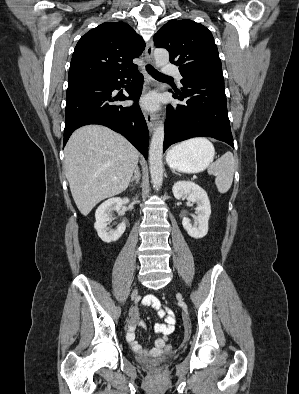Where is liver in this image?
I'll return each mask as SVG.
<instances>
[{"instance_id": "1", "label": "liver", "mask_w": 299, "mask_h": 394, "mask_svg": "<svg viewBox=\"0 0 299 394\" xmlns=\"http://www.w3.org/2000/svg\"><path fill=\"white\" fill-rule=\"evenodd\" d=\"M65 175L80 213L127 189L139 159L122 135L100 125L77 129L64 149Z\"/></svg>"}]
</instances>
